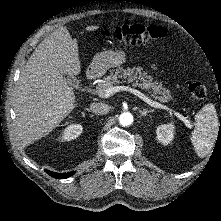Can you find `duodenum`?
<instances>
[{"label": "duodenum", "mask_w": 221, "mask_h": 221, "mask_svg": "<svg viewBox=\"0 0 221 221\" xmlns=\"http://www.w3.org/2000/svg\"><path fill=\"white\" fill-rule=\"evenodd\" d=\"M93 77H94L93 73H90V74L88 75V79H89V80H92Z\"/></svg>", "instance_id": "1"}]
</instances>
